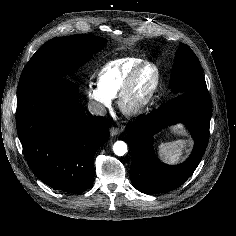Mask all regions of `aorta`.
<instances>
[{
	"mask_svg": "<svg viewBox=\"0 0 236 236\" xmlns=\"http://www.w3.org/2000/svg\"><path fill=\"white\" fill-rule=\"evenodd\" d=\"M113 151L118 156H123L127 153V144L124 141H116L113 145Z\"/></svg>",
	"mask_w": 236,
	"mask_h": 236,
	"instance_id": "aorta-1",
	"label": "aorta"
}]
</instances>
